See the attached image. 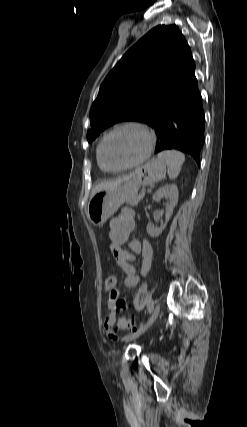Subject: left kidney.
Wrapping results in <instances>:
<instances>
[{"label": "left kidney", "instance_id": "1", "mask_svg": "<svg viewBox=\"0 0 247 427\" xmlns=\"http://www.w3.org/2000/svg\"><path fill=\"white\" fill-rule=\"evenodd\" d=\"M162 198L167 199L165 214L166 223L160 228H154L148 224L146 230L150 237H158L165 229L167 222L173 214V210L178 203V188L176 184H166L165 186L159 188L157 192L153 195V200L156 202H159Z\"/></svg>", "mask_w": 247, "mask_h": 427}]
</instances>
